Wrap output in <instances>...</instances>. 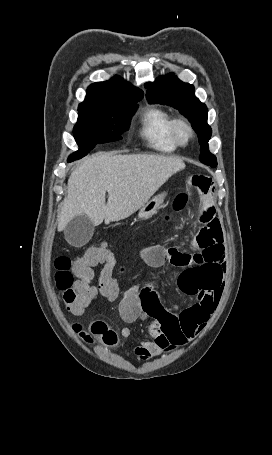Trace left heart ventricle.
I'll return each instance as SVG.
<instances>
[{"instance_id":"left-heart-ventricle-1","label":"left heart ventricle","mask_w":272,"mask_h":455,"mask_svg":"<svg viewBox=\"0 0 272 455\" xmlns=\"http://www.w3.org/2000/svg\"><path fill=\"white\" fill-rule=\"evenodd\" d=\"M187 136H188L187 130H186L185 128H180V137H181L182 139H186Z\"/></svg>"}]
</instances>
